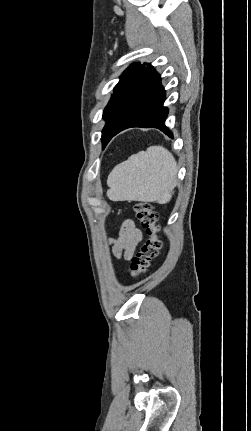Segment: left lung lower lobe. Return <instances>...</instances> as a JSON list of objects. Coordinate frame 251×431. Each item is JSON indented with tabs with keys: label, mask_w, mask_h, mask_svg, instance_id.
<instances>
[{
	"label": "left lung lower lobe",
	"mask_w": 251,
	"mask_h": 431,
	"mask_svg": "<svg viewBox=\"0 0 251 431\" xmlns=\"http://www.w3.org/2000/svg\"><path fill=\"white\" fill-rule=\"evenodd\" d=\"M164 101L165 90L160 76L152 70L108 142L120 131L131 127L157 128L172 137L165 126L168 109L163 106Z\"/></svg>",
	"instance_id": "0a47b994"
}]
</instances>
